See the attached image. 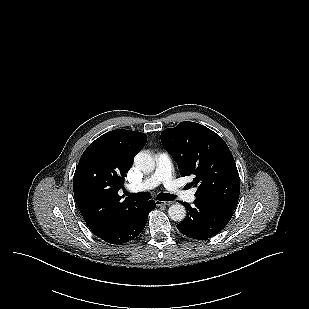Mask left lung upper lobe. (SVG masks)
I'll list each match as a JSON object with an SVG mask.
<instances>
[{
	"label": "left lung upper lobe",
	"mask_w": 309,
	"mask_h": 309,
	"mask_svg": "<svg viewBox=\"0 0 309 309\" xmlns=\"http://www.w3.org/2000/svg\"><path fill=\"white\" fill-rule=\"evenodd\" d=\"M164 148L178 163L180 173L192 176L196 199L235 210L240 179L234 158L224 140L194 122H181L161 133Z\"/></svg>",
	"instance_id": "5c2ea615"
}]
</instances>
